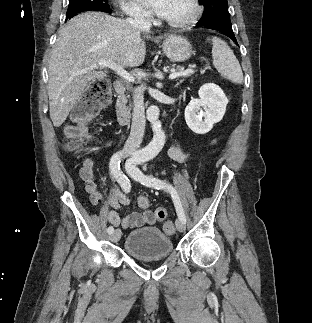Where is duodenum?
<instances>
[{
  "instance_id": "1",
  "label": "duodenum",
  "mask_w": 312,
  "mask_h": 323,
  "mask_svg": "<svg viewBox=\"0 0 312 323\" xmlns=\"http://www.w3.org/2000/svg\"><path fill=\"white\" fill-rule=\"evenodd\" d=\"M113 90L116 97V117L122 125H127L130 120V114L127 108V93L125 82L122 79L116 80L113 84Z\"/></svg>"
}]
</instances>
